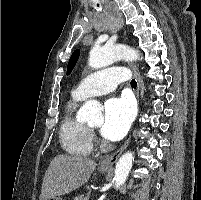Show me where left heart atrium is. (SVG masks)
Listing matches in <instances>:
<instances>
[{
    "label": "left heart atrium",
    "mask_w": 201,
    "mask_h": 200,
    "mask_svg": "<svg viewBox=\"0 0 201 200\" xmlns=\"http://www.w3.org/2000/svg\"><path fill=\"white\" fill-rule=\"evenodd\" d=\"M133 120V107L126 98L109 99L104 108V121L101 135L111 141L122 139L128 132Z\"/></svg>",
    "instance_id": "39dd6f15"
}]
</instances>
